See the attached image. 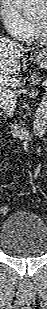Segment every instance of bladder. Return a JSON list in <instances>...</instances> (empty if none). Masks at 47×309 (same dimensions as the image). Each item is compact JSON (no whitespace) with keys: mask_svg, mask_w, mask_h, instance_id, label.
Masks as SVG:
<instances>
[{"mask_svg":"<svg viewBox=\"0 0 47 309\" xmlns=\"http://www.w3.org/2000/svg\"><path fill=\"white\" fill-rule=\"evenodd\" d=\"M0 245L13 257L42 256L47 250L46 224L33 213H12L3 222Z\"/></svg>","mask_w":47,"mask_h":309,"instance_id":"bladder-1","label":"bladder"}]
</instances>
